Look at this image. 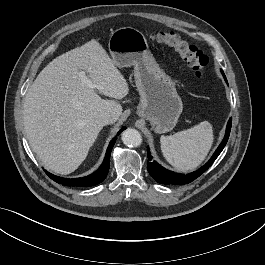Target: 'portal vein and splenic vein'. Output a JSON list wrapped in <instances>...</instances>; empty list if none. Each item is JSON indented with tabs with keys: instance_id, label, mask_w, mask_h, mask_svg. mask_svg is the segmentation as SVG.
<instances>
[{
	"instance_id": "portal-vein-and-splenic-vein-1",
	"label": "portal vein and splenic vein",
	"mask_w": 265,
	"mask_h": 265,
	"mask_svg": "<svg viewBox=\"0 0 265 265\" xmlns=\"http://www.w3.org/2000/svg\"><path fill=\"white\" fill-rule=\"evenodd\" d=\"M81 79L91 88H96V85L86 76L84 71L80 72Z\"/></svg>"
}]
</instances>
